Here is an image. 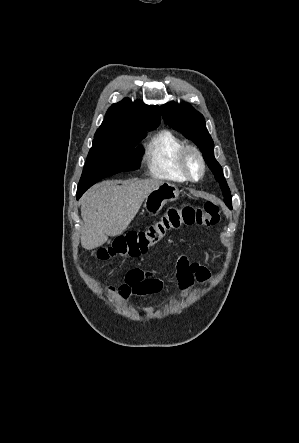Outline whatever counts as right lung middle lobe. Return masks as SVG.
Here are the masks:
<instances>
[{"instance_id": "obj_1", "label": "right lung middle lobe", "mask_w": 299, "mask_h": 443, "mask_svg": "<svg viewBox=\"0 0 299 443\" xmlns=\"http://www.w3.org/2000/svg\"><path fill=\"white\" fill-rule=\"evenodd\" d=\"M158 125H147L139 130L122 131L95 136L79 182L77 194H83L99 180L119 172L136 170L140 166L141 147H134L147 131Z\"/></svg>"}]
</instances>
